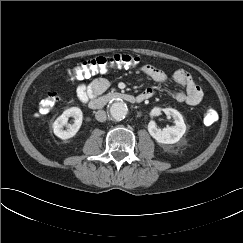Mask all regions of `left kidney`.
Returning a JSON list of instances; mask_svg holds the SVG:
<instances>
[{
    "instance_id": "obj_1",
    "label": "left kidney",
    "mask_w": 243,
    "mask_h": 243,
    "mask_svg": "<svg viewBox=\"0 0 243 243\" xmlns=\"http://www.w3.org/2000/svg\"><path fill=\"white\" fill-rule=\"evenodd\" d=\"M161 110L168 116L173 117L174 126H167L163 129L157 127L154 121H150L148 124V131L150 135L158 142L162 144H174L180 140V138L186 132V124L183 120L182 115L173 108H154L150 115H160Z\"/></svg>"
}]
</instances>
